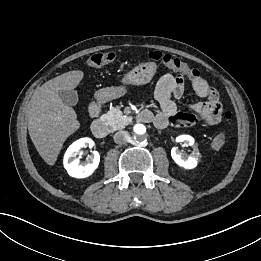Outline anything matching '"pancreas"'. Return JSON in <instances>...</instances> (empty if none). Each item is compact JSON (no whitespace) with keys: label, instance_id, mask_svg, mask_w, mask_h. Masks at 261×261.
Wrapping results in <instances>:
<instances>
[{"label":"pancreas","instance_id":"obj_1","mask_svg":"<svg viewBox=\"0 0 261 261\" xmlns=\"http://www.w3.org/2000/svg\"><path fill=\"white\" fill-rule=\"evenodd\" d=\"M104 121L112 131H115L127 126L131 118L124 116L119 108L113 107L104 115Z\"/></svg>","mask_w":261,"mask_h":261}]
</instances>
